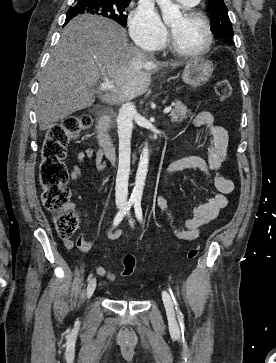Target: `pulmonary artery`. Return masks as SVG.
I'll use <instances>...</instances> for the list:
<instances>
[{
	"label": "pulmonary artery",
	"mask_w": 276,
	"mask_h": 363,
	"mask_svg": "<svg viewBox=\"0 0 276 363\" xmlns=\"http://www.w3.org/2000/svg\"><path fill=\"white\" fill-rule=\"evenodd\" d=\"M181 5L192 7L197 4L198 0H177Z\"/></svg>",
	"instance_id": "e3ab8cb5"
}]
</instances>
